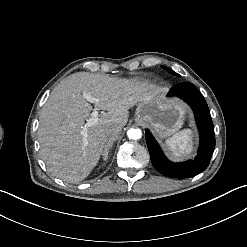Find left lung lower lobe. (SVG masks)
Returning <instances> with one entry per match:
<instances>
[{"instance_id": "1", "label": "left lung lower lobe", "mask_w": 247, "mask_h": 247, "mask_svg": "<svg viewBox=\"0 0 247 247\" xmlns=\"http://www.w3.org/2000/svg\"><path fill=\"white\" fill-rule=\"evenodd\" d=\"M168 96H177L188 103L194 111L200 133V146L194 160L181 163L169 161L149 130H146V142L151 162L161 174L172 178H189L204 171L210 162L215 148V134L207 103L200 91L190 82L174 85Z\"/></svg>"}]
</instances>
